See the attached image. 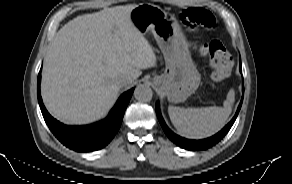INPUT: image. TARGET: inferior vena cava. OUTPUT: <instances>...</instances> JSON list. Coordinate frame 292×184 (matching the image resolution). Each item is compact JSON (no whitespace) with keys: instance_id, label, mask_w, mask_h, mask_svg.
Masks as SVG:
<instances>
[{"instance_id":"602c4592","label":"inferior vena cava","mask_w":292,"mask_h":184,"mask_svg":"<svg viewBox=\"0 0 292 184\" xmlns=\"http://www.w3.org/2000/svg\"><path fill=\"white\" fill-rule=\"evenodd\" d=\"M128 82H129V80L126 77H121V78L118 79L117 84L120 87H123V86L127 85Z\"/></svg>"}]
</instances>
